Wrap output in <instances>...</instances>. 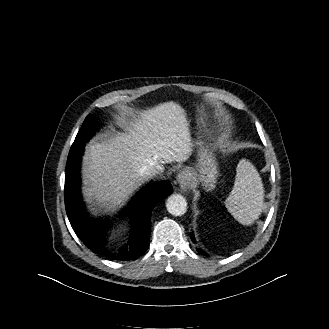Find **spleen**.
<instances>
[{
  "label": "spleen",
  "mask_w": 329,
  "mask_h": 329,
  "mask_svg": "<svg viewBox=\"0 0 329 329\" xmlns=\"http://www.w3.org/2000/svg\"><path fill=\"white\" fill-rule=\"evenodd\" d=\"M225 206L243 225L252 224L264 208L261 177L254 165L246 159H241L237 165L234 186L225 200Z\"/></svg>",
  "instance_id": "3e777b00"
}]
</instances>
